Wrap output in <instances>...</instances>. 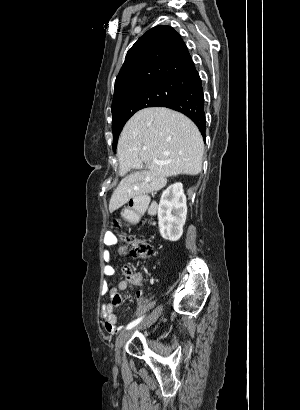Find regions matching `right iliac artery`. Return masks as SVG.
Wrapping results in <instances>:
<instances>
[{
	"label": "right iliac artery",
	"instance_id": "right-iliac-artery-1",
	"mask_svg": "<svg viewBox=\"0 0 300 410\" xmlns=\"http://www.w3.org/2000/svg\"><path fill=\"white\" fill-rule=\"evenodd\" d=\"M143 318H144V316L132 321L131 323H129L127 325L126 329L129 330V329L135 327L136 325H138L143 320Z\"/></svg>",
	"mask_w": 300,
	"mask_h": 410
}]
</instances>
